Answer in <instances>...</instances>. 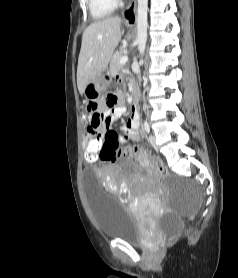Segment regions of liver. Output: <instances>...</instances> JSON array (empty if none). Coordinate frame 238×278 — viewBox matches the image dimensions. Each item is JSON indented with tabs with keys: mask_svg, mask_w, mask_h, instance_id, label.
<instances>
[{
	"mask_svg": "<svg viewBox=\"0 0 238 278\" xmlns=\"http://www.w3.org/2000/svg\"><path fill=\"white\" fill-rule=\"evenodd\" d=\"M120 25L119 17H110L91 23L84 31L77 67L81 95L87 84L107 68L121 39Z\"/></svg>",
	"mask_w": 238,
	"mask_h": 278,
	"instance_id": "obj_1",
	"label": "liver"
}]
</instances>
